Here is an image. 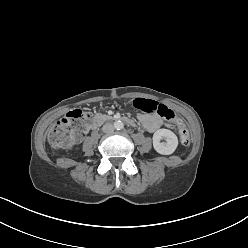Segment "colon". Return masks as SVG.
<instances>
[{"mask_svg":"<svg viewBox=\"0 0 248 248\" xmlns=\"http://www.w3.org/2000/svg\"><path fill=\"white\" fill-rule=\"evenodd\" d=\"M132 105L146 113H157L167 121L175 122L178 126L180 140L183 145L191 141L186 126L179 120L175 113L166 105L157 101L143 98H134ZM89 114L76 109L68 112L48 132V140L54 148H61L71 142L81 139L88 124Z\"/></svg>","mask_w":248,"mask_h":248,"instance_id":"1","label":"colon"}]
</instances>
